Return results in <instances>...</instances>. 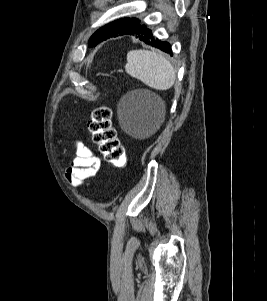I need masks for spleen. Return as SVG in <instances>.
<instances>
[{
	"instance_id": "3e777b00",
	"label": "spleen",
	"mask_w": 267,
	"mask_h": 301,
	"mask_svg": "<svg viewBox=\"0 0 267 301\" xmlns=\"http://www.w3.org/2000/svg\"><path fill=\"white\" fill-rule=\"evenodd\" d=\"M125 71L160 91L170 89L176 77L175 69L162 54L144 49L129 51Z\"/></svg>"
}]
</instances>
